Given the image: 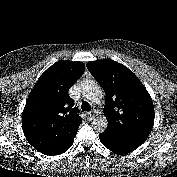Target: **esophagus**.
I'll return each mask as SVG.
<instances>
[{
  "label": "esophagus",
  "instance_id": "34e87169",
  "mask_svg": "<svg viewBox=\"0 0 177 177\" xmlns=\"http://www.w3.org/2000/svg\"><path fill=\"white\" fill-rule=\"evenodd\" d=\"M93 113L90 111V112H88V118L90 119V120H92L93 119Z\"/></svg>",
  "mask_w": 177,
  "mask_h": 177
}]
</instances>
